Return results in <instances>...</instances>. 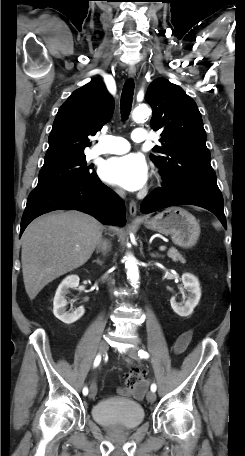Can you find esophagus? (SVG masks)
<instances>
[{
    "mask_svg": "<svg viewBox=\"0 0 245 456\" xmlns=\"http://www.w3.org/2000/svg\"><path fill=\"white\" fill-rule=\"evenodd\" d=\"M127 72H128V76H129L130 78H134L135 75H136V67H135V66H130V67L128 68V71H127ZM129 213H130V215H131L132 217H134V218H136V219H140V217L137 216V204H136V202L131 201V202L129 203Z\"/></svg>",
    "mask_w": 245,
    "mask_h": 456,
    "instance_id": "obj_1",
    "label": "esophagus"
}]
</instances>
